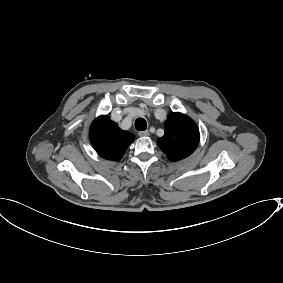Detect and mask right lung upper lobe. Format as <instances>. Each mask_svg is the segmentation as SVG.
Returning <instances> with one entry per match:
<instances>
[{
	"instance_id": "obj_1",
	"label": "right lung upper lobe",
	"mask_w": 283,
	"mask_h": 283,
	"mask_svg": "<svg viewBox=\"0 0 283 283\" xmlns=\"http://www.w3.org/2000/svg\"><path fill=\"white\" fill-rule=\"evenodd\" d=\"M89 137L96 152L112 161H119L134 141L133 134L121 130L107 116H99L93 121Z\"/></svg>"
}]
</instances>
